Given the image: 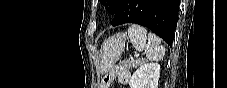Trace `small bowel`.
<instances>
[{
	"mask_svg": "<svg viewBox=\"0 0 227 88\" xmlns=\"http://www.w3.org/2000/svg\"><path fill=\"white\" fill-rule=\"evenodd\" d=\"M117 77L121 84H127L130 79V72L122 66H115L102 80L104 88H109L114 78Z\"/></svg>",
	"mask_w": 227,
	"mask_h": 88,
	"instance_id": "obj_1",
	"label": "small bowel"
}]
</instances>
